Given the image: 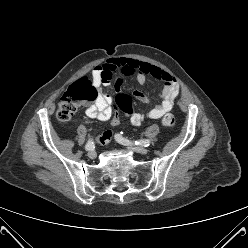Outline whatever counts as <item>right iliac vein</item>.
Wrapping results in <instances>:
<instances>
[{
  "label": "right iliac vein",
  "mask_w": 248,
  "mask_h": 248,
  "mask_svg": "<svg viewBox=\"0 0 248 248\" xmlns=\"http://www.w3.org/2000/svg\"><path fill=\"white\" fill-rule=\"evenodd\" d=\"M97 156L96 152L94 150H91L88 152V157L91 159H95Z\"/></svg>",
  "instance_id": "1"
}]
</instances>
